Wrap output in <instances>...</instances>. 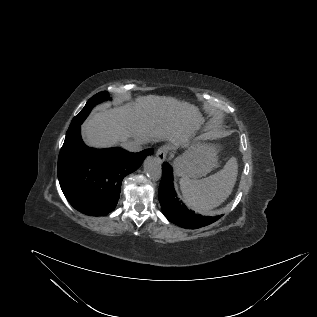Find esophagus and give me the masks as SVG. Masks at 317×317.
<instances>
[{"label": "esophagus", "instance_id": "obj_1", "mask_svg": "<svg viewBox=\"0 0 317 317\" xmlns=\"http://www.w3.org/2000/svg\"><path fill=\"white\" fill-rule=\"evenodd\" d=\"M169 150V145H163L158 148V150L156 151V157L159 160V162H164L166 160Z\"/></svg>", "mask_w": 317, "mask_h": 317}]
</instances>
